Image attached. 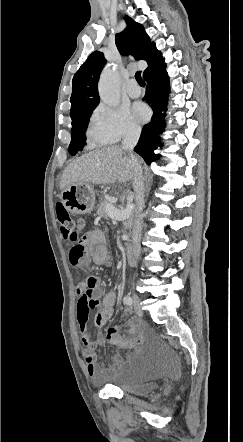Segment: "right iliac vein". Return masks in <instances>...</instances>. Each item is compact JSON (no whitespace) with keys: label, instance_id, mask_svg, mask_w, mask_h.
I'll list each match as a JSON object with an SVG mask.
<instances>
[{"label":"right iliac vein","instance_id":"1","mask_svg":"<svg viewBox=\"0 0 243 442\" xmlns=\"http://www.w3.org/2000/svg\"><path fill=\"white\" fill-rule=\"evenodd\" d=\"M132 300H133L134 308L136 309L138 314L140 316H142L143 315V311H142V306H141L140 298H139V296L136 293L132 294Z\"/></svg>","mask_w":243,"mask_h":442}]
</instances>
